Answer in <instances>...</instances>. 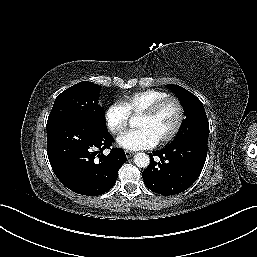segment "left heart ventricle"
<instances>
[{"label":"left heart ventricle","instance_id":"obj_1","mask_svg":"<svg viewBox=\"0 0 257 257\" xmlns=\"http://www.w3.org/2000/svg\"><path fill=\"white\" fill-rule=\"evenodd\" d=\"M177 115L176 105L169 103L154 117L140 116L137 126L149 130L159 140L173 129Z\"/></svg>","mask_w":257,"mask_h":257}]
</instances>
